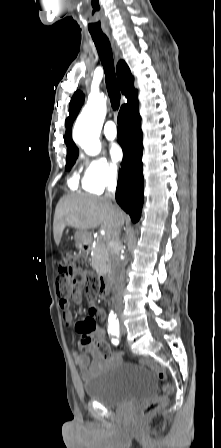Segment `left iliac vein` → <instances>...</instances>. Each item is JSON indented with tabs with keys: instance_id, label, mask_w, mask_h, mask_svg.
<instances>
[{
	"instance_id": "1",
	"label": "left iliac vein",
	"mask_w": 221,
	"mask_h": 448,
	"mask_svg": "<svg viewBox=\"0 0 221 448\" xmlns=\"http://www.w3.org/2000/svg\"><path fill=\"white\" fill-rule=\"evenodd\" d=\"M126 333V329L124 326L121 327V334H125Z\"/></svg>"
}]
</instances>
